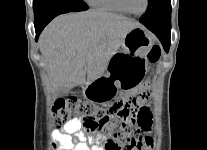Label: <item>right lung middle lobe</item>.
Masks as SVG:
<instances>
[{
  "label": "right lung middle lobe",
  "mask_w": 207,
  "mask_h": 150,
  "mask_svg": "<svg viewBox=\"0 0 207 150\" xmlns=\"http://www.w3.org/2000/svg\"><path fill=\"white\" fill-rule=\"evenodd\" d=\"M34 18L52 11H83L88 5L82 0H33Z\"/></svg>",
  "instance_id": "1"
}]
</instances>
